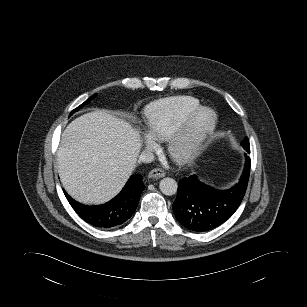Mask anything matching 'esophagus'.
Wrapping results in <instances>:
<instances>
[{"label":"esophagus","mask_w":307,"mask_h":307,"mask_svg":"<svg viewBox=\"0 0 307 307\" xmlns=\"http://www.w3.org/2000/svg\"><path fill=\"white\" fill-rule=\"evenodd\" d=\"M165 172L164 170L160 169V168H155L153 170H151L148 174L149 178H162L165 176Z\"/></svg>","instance_id":"obj_1"}]
</instances>
